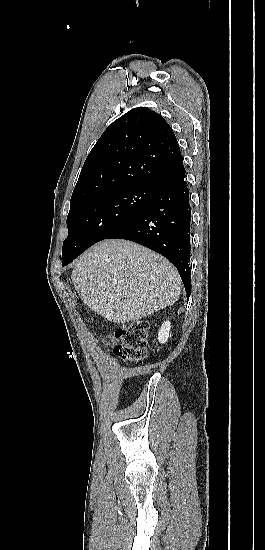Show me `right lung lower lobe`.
Wrapping results in <instances>:
<instances>
[{
    "mask_svg": "<svg viewBox=\"0 0 265 550\" xmlns=\"http://www.w3.org/2000/svg\"><path fill=\"white\" fill-rule=\"evenodd\" d=\"M191 208L181 159L157 182L145 209L128 225L106 239H127L148 247L170 260L191 294Z\"/></svg>",
    "mask_w": 265,
    "mask_h": 550,
    "instance_id": "98d812e1",
    "label": "right lung lower lobe"
}]
</instances>
